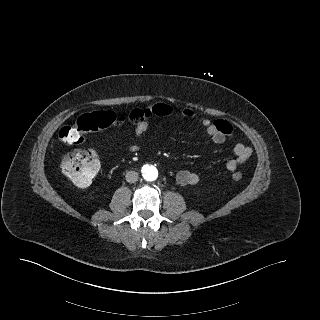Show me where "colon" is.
<instances>
[{
    "mask_svg": "<svg viewBox=\"0 0 320 320\" xmlns=\"http://www.w3.org/2000/svg\"><path fill=\"white\" fill-rule=\"evenodd\" d=\"M124 117H117L108 110H98L81 115L73 124L64 126L59 131V138L66 144H77L83 139V134L97 131L118 124ZM64 174L78 187L91 185L99 170L98 155L90 149H79L65 154L61 160ZM233 180L242 178L240 172L232 175Z\"/></svg>",
    "mask_w": 320,
    "mask_h": 320,
    "instance_id": "1",
    "label": "colon"
}]
</instances>
